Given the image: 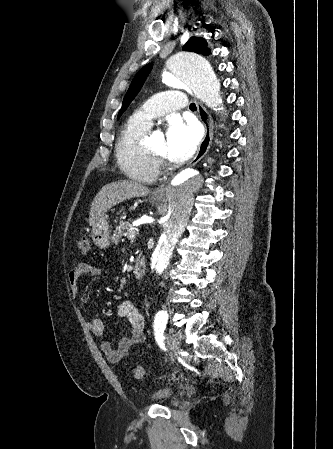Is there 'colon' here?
Listing matches in <instances>:
<instances>
[{"label":"colon","mask_w":333,"mask_h":449,"mask_svg":"<svg viewBox=\"0 0 333 449\" xmlns=\"http://www.w3.org/2000/svg\"><path fill=\"white\" fill-rule=\"evenodd\" d=\"M91 244L90 240L86 236H82L78 241V251L81 255H87L90 252ZM134 377L141 379L145 376V370L142 366H136L133 369Z\"/></svg>","instance_id":"colon-1"}]
</instances>
